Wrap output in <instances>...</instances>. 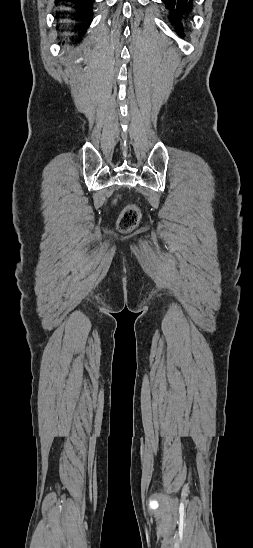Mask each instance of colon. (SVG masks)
<instances>
[{"mask_svg": "<svg viewBox=\"0 0 253 548\" xmlns=\"http://www.w3.org/2000/svg\"><path fill=\"white\" fill-rule=\"evenodd\" d=\"M140 217L141 213L136 205L125 207L118 219V230L122 233L131 232L138 225Z\"/></svg>", "mask_w": 253, "mask_h": 548, "instance_id": "obj_1", "label": "colon"}]
</instances>
